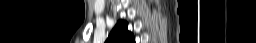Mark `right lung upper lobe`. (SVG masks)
Here are the masks:
<instances>
[{
  "mask_svg": "<svg viewBox=\"0 0 256 43\" xmlns=\"http://www.w3.org/2000/svg\"><path fill=\"white\" fill-rule=\"evenodd\" d=\"M135 38L128 31V24L125 21H119L111 31L107 43H134Z\"/></svg>",
  "mask_w": 256,
  "mask_h": 43,
  "instance_id": "right-lung-upper-lobe-1",
  "label": "right lung upper lobe"
}]
</instances>
